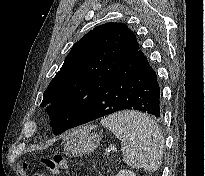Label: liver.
<instances>
[{
	"label": "liver",
	"mask_w": 205,
	"mask_h": 176,
	"mask_svg": "<svg viewBox=\"0 0 205 176\" xmlns=\"http://www.w3.org/2000/svg\"><path fill=\"white\" fill-rule=\"evenodd\" d=\"M89 129H90V128H83V129H81L80 131H83V130H87V131H88ZM78 132H79V131H74L72 135H76V134H78Z\"/></svg>",
	"instance_id": "1"
}]
</instances>
